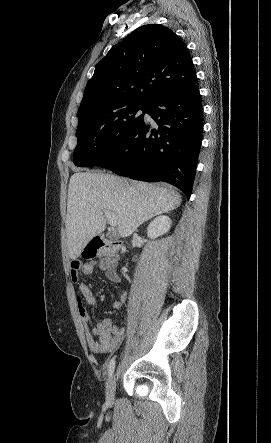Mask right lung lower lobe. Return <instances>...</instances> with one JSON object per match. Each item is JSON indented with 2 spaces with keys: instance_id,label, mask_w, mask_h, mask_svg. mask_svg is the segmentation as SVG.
I'll return each instance as SVG.
<instances>
[{
  "instance_id": "98d812e1",
  "label": "right lung lower lobe",
  "mask_w": 271,
  "mask_h": 443,
  "mask_svg": "<svg viewBox=\"0 0 271 443\" xmlns=\"http://www.w3.org/2000/svg\"><path fill=\"white\" fill-rule=\"evenodd\" d=\"M198 80L157 95L144 120L100 167L136 180L168 182L192 193L203 128Z\"/></svg>"
}]
</instances>
